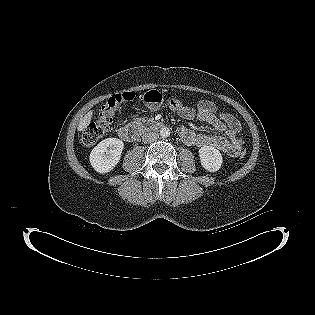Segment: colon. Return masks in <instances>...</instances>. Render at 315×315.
Listing matches in <instances>:
<instances>
[{
  "label": "colon",
  "instance_id": "1",
  "mask_svg": "<svg viewBox=\"0 0 315 315\" xmlns=\"http://www.w3.org/2000/svg\"><path fill=\"white\" fill-rule=\"evenodd\" d=\"M135 98V93L126 91L112 95L102 106L98 119L90 123L81 135V142L84 146L94 145L102 138L110 129L113 122V117L117 109L125 102L132 101ZM171 109H179L183 107L184 101L178 98H172L168 101ZM238 157L244 158L247 155L246 150L240 149L237 152Z\"/></svg>",
  "mask_w": 315,
  "mask_h": 315
}]
</instances>
